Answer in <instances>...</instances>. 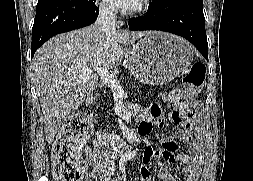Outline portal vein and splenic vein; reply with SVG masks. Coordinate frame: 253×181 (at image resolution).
<instances>
[{
  "mask_svg": "<svg viewBox=\"0 0 253 181\" xmlns=\"http://www.w3.org/2000/svg\"><path fill=\"white\" fill-rule=\"evenodd\" d=\"M95 71L98 72L100 78L102 81L112 89V91H117V92H123L122 87L116 80V77L114 74H111L108 70L102 68V67H93ZM93 72L92 69H89L87 72L83 73V76L87 77Z\"/></svg>",
  "mask_w": 253,
  "mask_h": 181,
  "instance_id": "1",
  "label": "portal vein and splenic vein"
}]
</instances>
